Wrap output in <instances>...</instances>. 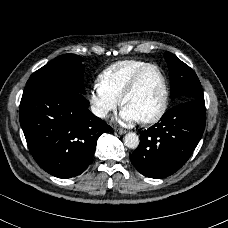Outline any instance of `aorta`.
<instances>
[{"mask_svg":"<svg viewBox=\"0 0 228 228\" xmlns=\"http://www.w3.org/2000/svg\"><path fill=\"white\" fill-rule=\"evenodd\" d=\"M139 137L134 132H129L124 137V145L130 149H136L139 145Z\"/></svg>","mask_w":228,"mask_h":228,"instance_id":"762f6f07","label":"aorta"}]
</instances>
